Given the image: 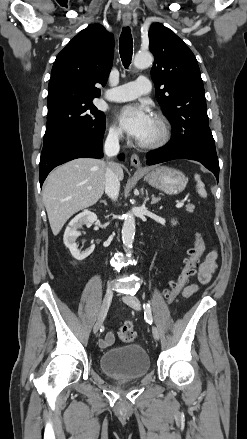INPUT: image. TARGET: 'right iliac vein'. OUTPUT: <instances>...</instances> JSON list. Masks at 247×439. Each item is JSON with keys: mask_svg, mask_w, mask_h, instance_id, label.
I'll return each instance as SVG.
<instances>
[{"mask_svg": "<svg viewBox=\"0 0 247 439\" xmlns=\"http://www.w3.org/2000/svg\"><path fill=\"white\" fill-rule=\"evenodd\" d=\"M112 298H113V292L111 289H108L105 293L98 319L93 327L94 334L98 332L100 326L102 325L104 318L108 312L109 306L111 304Z\"/></svg>", "mask_w": 247, "mask_h": 439, "instance_id": "obj_1", "label": "right iliac vein"}]
</instances>
